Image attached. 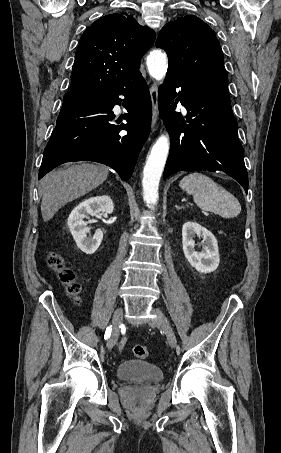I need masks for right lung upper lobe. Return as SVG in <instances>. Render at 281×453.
<instances>
[{
    "label": "right lung upper lobe",
    "instance_id": "cb5924a9",
    "mask_svg": "<svg viewBox=\"0 0 281 453\" xmlns=\"http://www.w3.org/2000/svg\"><path fill=\"white\" fill-rule=\"evenodd\" d=\"M155 33L128 15L109 14L82 34L71 73V91L116 87L140 68Z\"/></svg>",
    "mask_w": 281,
    "mask_h": 453
}]
</instances>
